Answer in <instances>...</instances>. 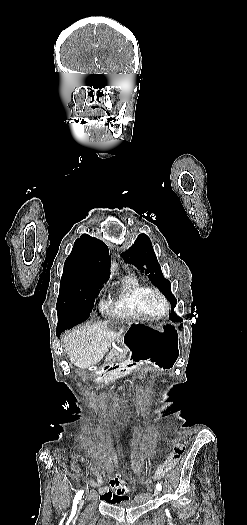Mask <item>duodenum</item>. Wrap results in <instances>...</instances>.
<instances>
[{
    "instance_id": "duodenum-1",
    "label": "duodenum",
    "mask_w": 247,
    "mask_h": 525,
    "mask_svg": "<svg viewBox=\"0 0 247 525\" xmlns=\"http://www.w3.org/2000/svg\"><path fill=\"white\" fill-rule=\"evenodd\" d=\"M134 369L135 363L132 360H126L107 364L100 369L92 367L89 369V374L93 376L94 380H99L102 377H115L128 374Z\"/></svg>"
}]
</instances>
